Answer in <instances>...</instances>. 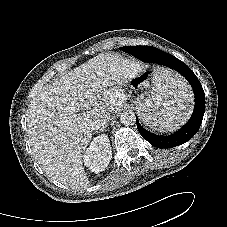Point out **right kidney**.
<instances>
[{"label": "right kidney", "instance_id": "obj_1", "mask_svg": "<svg viewBox=\"0 0 227 227\" xmlns=\"http://www.w3.org/2000/svg\"><path fill=\"white\" fill-rule=\"evenodd\" d=\"M112 158V150L107 135L102 134L94 138L86 149L83 157L84 165L94 173L106 169Z\"/></svg>", "mask_w": 227, "mask_h": 227}]
</instances>
